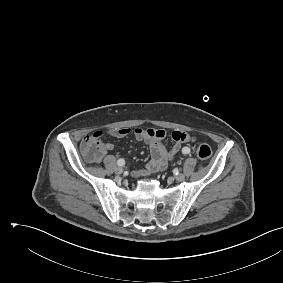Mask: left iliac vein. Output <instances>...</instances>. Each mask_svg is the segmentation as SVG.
Segmentation results:
<instances>
[{
    "label": "left iliac vein",
    "instance_id": "1",
    "mask_svg": "<svg viewBox=\"0 0 283 283\" xmlns=\"http://www.w3.org/2000/svg\"><path fill=\"white\" fill-rule=\"evenodd\" d=\"M174 178H175L176 181L181 182V181L185 180V175L182 174V173H179Z\"/></svg>",
    "mask_w": 283,
    "mask_h": 283
}]
</instances>
